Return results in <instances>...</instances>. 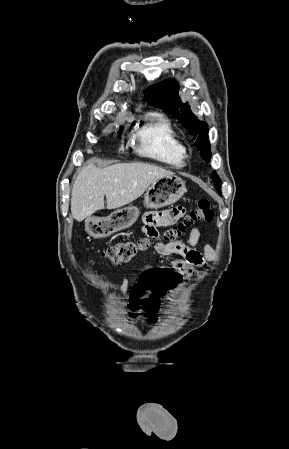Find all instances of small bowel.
Listing matches in <instances>:
<instances>
[{
    "label": "small bowel",
    "instance_id": "small-bowel-1",
    "mask_svg": "<svg viewBox=\"0 0 289 449\" xmlns=\"http://www.w3.org/2000/svg\"><path fill=\"white\" fill-rule=\"evenodd\" d=\"M183 213L184 209L182 207H176L163 212H148L143 216L142 232L148 237L157 239L159 237L157 227L173 223L178 220ZM199 244L200 232L198 229H193L190 233L188 244L180 242L163 244L162 242L157 241L154 245V249L157 254L166 257L169 260L171 268H174L175 271H180L181 280L183 277H194L199 269L206 265V262L215 259V251L209 244L204 245L202 253L198 251ZM144 268L161 267L147 265L140 271H143ZM140 271L133 278L123 279L120 286V295L127 293L131 282L138 281Z\"/></svg>",
    "mask_w": 289,
    "mask_h": 449
}]
</instances>
